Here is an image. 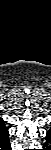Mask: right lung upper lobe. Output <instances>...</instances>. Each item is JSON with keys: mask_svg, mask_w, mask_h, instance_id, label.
<instances>
[{"mask_svg": "<svg viewBox=\"0 0 51 150\" xmlns=\"http://www.w3.org/2000/svg\"><path fill=\"white\" fill-rule=\"evenodd\" d=\"M9 133L5 127L4 121L0 118V147L7 144L9 142Z\"/></svg>", "mask_w": 51, "mask_h": 150, "instance_id": "right-lung-upper-lobe-1", "label": "right lung upper lobe"}]
</instances>
